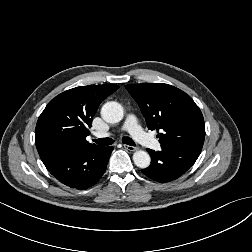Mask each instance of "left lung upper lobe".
I'll return each mask as SVG.
<instances>
[{
  "label": "left lung upper lobe",
  "mask_w": 252,
  "mask_h": 252,
  "mask_svg": "<svg viewBox=\"0 0 252 252\" xmlns=\"http://www.w3.org/2000/svg\"><path fill=\"white\" fill-rule=\"evenodd\" d=\"M138 103L151 130L158 135L161 147L187 148L201 152L205 124L199 107L182 90L163 83L125 86Z\"/></svg>",
  "instance_id": "5c2ea615"
}]
</instances>
